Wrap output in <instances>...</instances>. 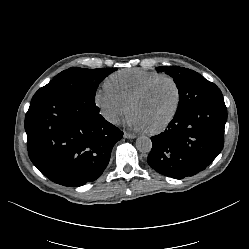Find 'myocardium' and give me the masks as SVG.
Instances as JSON below:
<instances>
[{"mask_svg":"<svg viewBox=\"0 0 249 249\" xmlns=\"http://www.w3.org/2000/svg\"><path fill=\"white\" fill-rule=\"evenodd\" d=\"M162 80H168L174 86L176 91V105L171 115L164 122H162L159 126L153 129L146 130L148 134H158L165 131L176 119L182 103V92L177 80L173 76L167 74H162L157 77H154L148 82H146L142 87H140L138 91L128 101V107L130 108V106L135 101L143 97L156 83Z\"/></svg>","mask_w":249,"mask_h":249,"instance_id":"obj_1","label":"myocardium"}]
</instances>
